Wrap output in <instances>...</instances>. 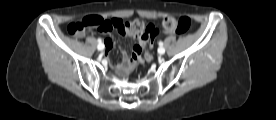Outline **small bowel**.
I'll return each instance as SVG.
<instances>
[{"label":"small bowel","instance_id":"obj_1","mask_svg":"<svg viewBox=\"0 0 276 120\" xmlns=\"http://www.w3.org/2000/svg\"><path fill=\"white\" fill-rule=\"evenodd\" d=\"M114 20L115 21H120V20H117V19H114ZM152 27H153V29H155L154 26H152ZM153 39H148V40H145V41L138 40V43L133 47V51H132L130 57H128L126 52L124 50H122L123 60L120 64L119 70H118V73L120 75H125V74L130 73L131 71H133L137 67L138 64L143 62V59L141 57V51L146 45L152 44ZM105 46H106L107 50H110L113 47V40L110 39V38H107L105 40ZM149 58L150 57L147 54L146 55V60H149Z\"/></svg>","mask_w":276,"mask_h":120}]
</instances>
